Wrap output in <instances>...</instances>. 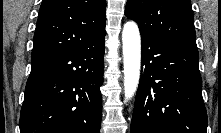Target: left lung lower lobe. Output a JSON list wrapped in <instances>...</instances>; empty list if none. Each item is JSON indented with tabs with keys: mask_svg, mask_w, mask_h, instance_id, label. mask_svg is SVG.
I'll list each match as a JSON object with an SVG mask.
<instances>
[{
	"mask_svg": "<svg viewBox=\"0 0 221 133\" xmlns=\"http://www.w3.org/2000/svg\"><path fill=\"white\" fill-rule=\"evenodd\" d=\"M141 43L130 133H207L197 48L151 36Z\"/></svg>",
	"mask_w": 221,
	"mask_h": 133,
	"instance_id": "left-lung-lower-lobe-1",
	"label": "left lung lower lobe"
}]
</instances>
